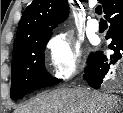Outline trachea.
I'll use <instances>...</instances> for the list:
<instances>
[{
    "mask_svg": "<svg viewBox=\"0 0 123 113\" xmlns=\"http://www.w3.org/2000/svg\"><path fill=\"white\" fill-rule=\"evenodd\" d=\"M95 12H96L98 15H100V14L102 13V8H101L100 5H98V6L96 7Z\"/></svg>",
    "mask_w": 123,
    "mask_h": 113,
    "instance_id": "trachea-1",
    "label": "trachea"
}]
</instances>
